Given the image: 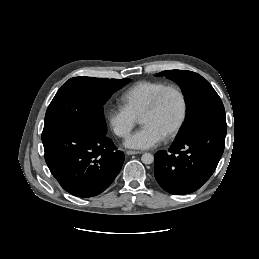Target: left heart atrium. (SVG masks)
<instances>
[{
    "mask_svg": "<svg viewBox=\"0 0 259 259\" xmlns=\"http://www.w3.org/2000/svg\"><path fill=\"white\" fill-rule=\"evenodd\" d=\"M164 136L150 125H144L141 129L131 135L125 145L134 149H149L162 141Z\"/></svg>",
    "mask_w": 259,
    "mask_h": 259,
    "instance_id": "39dd6f15",
    "label": "left heart atrium"
}]
</instances>
